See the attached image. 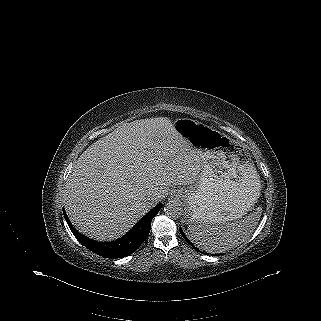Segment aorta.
I'll return each instance as SVG.
<instances>
[{
    "label": "aorta",
    "instance_id": "obj_1",
    "mask_svg": "<svg viewBox=\"0 0 321 321\" xmlns=\"http://www.w3.org/2000/svg\"><path fill=\"white\" fill-rule=\"evenodd\" d=\"M165 213L171 218H180L183 214V208L181 204L176 200L167 202L164 207Z\"/></svg>",
    "mask_w": 321,
    "mask_h": 321
}]
</instances>
